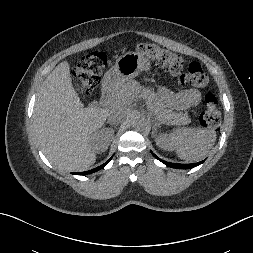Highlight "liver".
Listing matches in <instances>:
<instances>
[{
    "label": "liver",
    "instance_id": "6515ba94",
    "mask_svg": "<svg viewBox=\"0 0 253 253\" xmlns=\"http://www.w3.org/2000/svg\"><path fill=\"white\" fill-rule=\"evenodd\" d=\"M127 85L126 106L140 96L141 88ZM109 108L96 104L84 108L76 93L67 61L61 62L48 75L38 92L34 111L33 128L46 158L55 166L69 171H83L96 161L91 137L103 126Z\"/></svg>",
    "mask_w": 253,
    "mask_h": 253
}]
</instances>
